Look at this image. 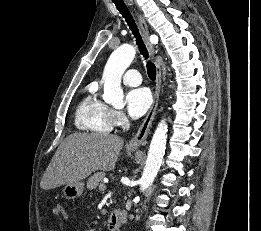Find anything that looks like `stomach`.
Segmentation results:
<instances>
[{"mask_svg":"<svg viewBox=\"0 0 261 231\" xmlns=\"http://www.w3.org/2000/svg\"><path fill=\"white\" fill-rule=\"evenodd\" d=\"M83 190H84V183L82 181L73 184L68 183L63 188V194L67 199L71 200L81 196Z\"/></svg>","mask_w":261,"mask_h":231,"instance_id":"1","label":"stomach"}]
</instances>
